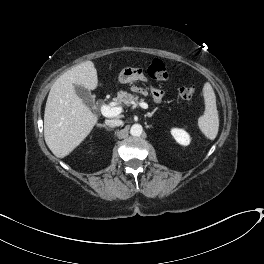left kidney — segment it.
Instances as JSON below:
<instances>
[{
  "instance_id": "5707ae66",
  "label": "left kidney",
  "mask_w": 264,
  "mask_h": 264,
  "mask_svg": "<svg viewBox=\"0 0 264 264\" xmlns=\"http://www.w3.org/2000/svg\"><path fill=\"white\" fill-rule=\"evenodd\" d=\"M171 134L175 138V140L184 146L189 145L190 143V136L189 134L184 131L183 129L180 128H172L171 129Z\"/></svg>"
}]
</instances>
